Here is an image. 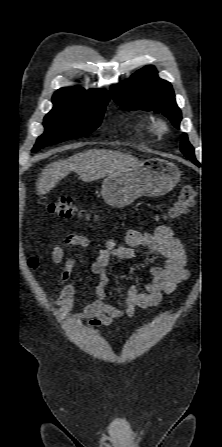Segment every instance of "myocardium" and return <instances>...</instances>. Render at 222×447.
Returning <instances> with one entry per match:
<instances>
[{
  "label": "myocardium",
  "mask_w": 222,
  "mask_h": 447,
  "mask_svg": "<svg viewBox=\"0 0 222 447\" xmlns=\"http://www.w3.org/2000/svg\"><path fill=\"white\" fill-rule=\"evenodd\" d=\"M154 127L159 132L168 131V124L164 119L158 118L154 121Z\"/></svg>",
  "instance_id": "1"
}]
</instances>
